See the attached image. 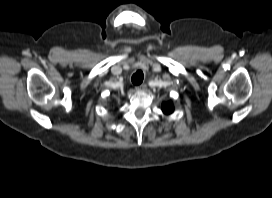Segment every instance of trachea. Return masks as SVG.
Listing matches in <instances>:
<instances>
[{
	"mask_svg": "<svg viewBox=\"0 0 272 198\" xmlns=\"http://www.w3.org/2000/svg\"><path fill=\"white\" fill-rule=\"evenodd\" d=\"M144 75L141 70H138L136 73L133 74L131 80L134 85H140L143 81Z\"/></svg>",
	"mask_w": 272,
	"mask_h": 198,
	"instance_id": "1",
	"label": "trachea"
}]
</instances>
